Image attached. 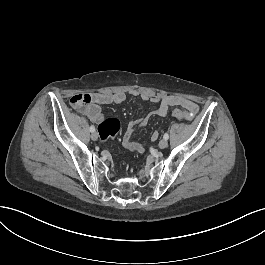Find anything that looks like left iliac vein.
I'll return each instance as SVG.
<instances>
[{"mask_svg": "<svg viewBox=\"0 0 265 265\" xmlns=\"http://www.w3.org/2000/svg\"><path fill=\"white\" fill-rule=\"evenodd\" d=\"M158 146H159V148H161V149L166 148V147L168 146V142H167V140H166V139H162V140L159 142Z\"/></svg>", "mask_w": 265, "mask_h": 265, "instance_id": "obj_1", "label": "left iliac vein"}]
</instances>
